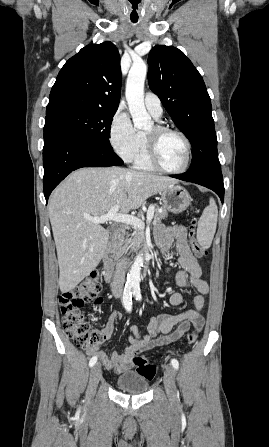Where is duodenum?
<instances>
[{
  "instance_id": "1",
  "label": "duodenum",
  "mask_w": 269,
  "mask_h": 447,
  "mask_svg": "<svg viewBox=\"0 0 269 447\" xmlns=\"http://www.w3.org/2000/svg\"><path fill=\"white\" fill-rule=\"evenodd\" d=\"M124 235V230L119 228L114 232V235L104 253L103 256V276L105 281L110 282L112 281L117 274L118 265L116 262V251L118 248V245ZM147 260V258L145 257ZM144 272L146 273L148 270V263L144 265L143 268Z\"/></svg>"
}]
</instances>
